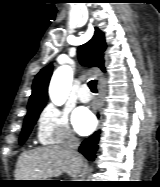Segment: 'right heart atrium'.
Masks as SVG:
<instances>
[{
	"label": "right heart atrium",
	"mask_w": 160,
	"mask_h": 187,
	"mask_svg": "<svg viewBox=\"0 0 160 187\" xmlns=\"http://www.w3.org/2000/svg\"><path fill=\"white\" fill-rule=\"evenodd\" d=\"M38 138L43 145H76L78 143L68 115L53 105L45 107L39 115Z\"/></svg>",
	"instance_id": "right-heart-atrium-1"
}]
</instances>
